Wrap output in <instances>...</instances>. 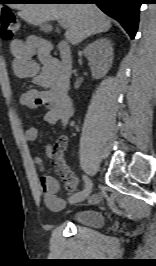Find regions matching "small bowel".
Returning <instances> with one entry per match:
<instances>
[{
    "mask_svg": "<svg viewBox=\"0 0 156 266\" xmlns=\"http://www.w3.org/2000/svg\"><path fill=\"white\" fill-rule=\"evenodd\" d=\"M44 45V42L34 37H29L26 41L16 39L10 43L14 74L19 78H32L37 86V88L24 91L20 95L19 101L22 106L31 109L45 106L47 108L45 121L50 124L58 123L65 128L73 115L68 85L60 80L57 63L42 50ZM37 137L38 129L36 127L31 126L26 130L25 139L28 142H34ZM45 153L52 159L64 181L65 188L68 191H74L78 181L63 159L62 147H53L48 144L45 147ZM34 163L41 173L39 184L46 206L53 211L63 209L66 201L57 196L59 191L57 179L45 173V165L40 156H34ZM97 201V196L90 198L92 203Z\"/></svg>",
    "mask_w": 156,
    "mask_h": 266,
    "instance_id": "c3829d8e",
    "label": "small bowel"
}]
</instances>
